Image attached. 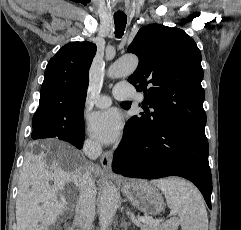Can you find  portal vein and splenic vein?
<instances>
[{
  "instance_id": "obj_1",
  "label": "portal vein and splenic vein",
  "mask_w": 241,
  "mask_h": 230,
  "mask_svg": "<svg viewBox=\"0 0 241 230\" xmlns=\"http://www.w3.org/2000/svg\"><path fill=\"white\" fill-rule=\"evenodd\" d=\"M172 215V213H171ZM138 221L140 223H143V224H148V225H157L159 223H161L163 220H155V219H152V218H149V217H140L138 218Z\"/></svg>"
}]
</instances>
